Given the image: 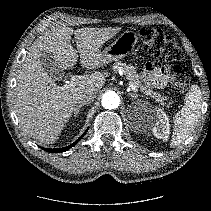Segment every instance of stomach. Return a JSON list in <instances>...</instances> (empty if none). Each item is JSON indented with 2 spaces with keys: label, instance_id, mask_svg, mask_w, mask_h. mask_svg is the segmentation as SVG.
<instances>
[{
  "label": "stomach",
  "instance_id": "obj_1",
  "mask_svg": "<svg viewBox=\"0 0 211 211\" xmlns=\"http://www.w3.org/2000/svg\"><path fill=\"white\" fill-rule=\"evenodd\" d=\"M138 37L134 31L126 30L121 33L111 45L103 50L107 63L126 57L135 47Z\"/></svg>",
  "mask_w": 211,
  "mask_h": 211
}]
</instances>
